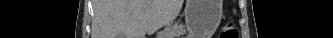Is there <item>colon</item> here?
Returning <instances> with one entry per match:
<instances>
[{"label": "colon", "instance_id": "1", "mask_svg": "<svg viewBox=\"0 0 333 38\" xmlns=\"http://www.w3.org/2000/svg\"><path fill=\"white\" fill-rule=\"evenodd\" d=\"M221 38H238V31L232 22L226 24L221 33Z\"/></svg>", "mask_w": 333, "mask_h": 38}]
</instances>
